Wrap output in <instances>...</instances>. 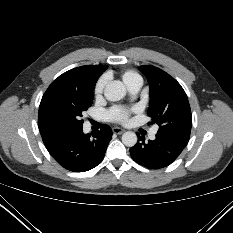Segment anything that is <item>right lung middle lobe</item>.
<instances>
[{"label": "right lung middle lobe", "instance_id": "obj_1", "mask_svg": "<svg viewBox=\"0 0 233 233\" xmlns=\"http://www.w3.org/2000/svg\"><path fill=\"white\" fill-rule=\"evenodd\" d=\"M94 85L81 89H68L49 96L40 107L44 126L56 133L82 127V112L93 102Z\"/></svg>", "mask_w": 233, "mask_h": 233}]
</instances>
